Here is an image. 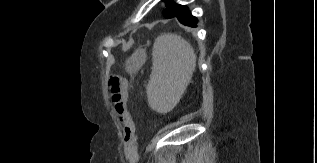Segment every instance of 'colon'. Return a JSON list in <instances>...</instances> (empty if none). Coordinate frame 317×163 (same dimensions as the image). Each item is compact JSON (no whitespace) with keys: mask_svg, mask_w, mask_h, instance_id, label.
I'll use <instances>...</instances> for the list:
<instances>
[{"mask_svg":"<svg viewBox=\"0 0 317 163\" xmlns=\"http://www.w3.org/2000/svg\"><path fill=\"white\" fill-rule=\"evenodd\" d=\"M108 90L112 101L115 104H124L127 94V85L124 81L118 77H111L108 84Z\"/></svg>","mask_w":317,"mask_h":163,"instance_id":"5ec220e1","label":"colon"}]
</instances>
